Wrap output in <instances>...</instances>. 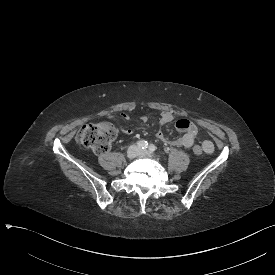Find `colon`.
I'll return each mask as SVG.
<instances>
[{"label": "colon", "mask_w": 275, "mask_h": 275, "mask_svg": "<svg viewBox=\"0 0 275 275\" xmlns=\"http://www.w3.org/2000/svg\"><path fill=\"white\" fill-rule=\"evenodd\" d=\"M116 126L107 121L85 123L77 134V142L80 146L89 148L94 152L104 154L109 151L110 145L117 136ZM207 147L196 145L194 152L202 154Z\"/></svg>", "instance_id": "colon-1"}]
</instances>
